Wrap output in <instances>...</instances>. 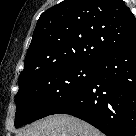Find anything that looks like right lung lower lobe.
<instances>
[{
    "label": "right lung lower lobe",
    "mask_w": 136,
    "mask_h": 136,
    "mask_svg": "<svg viewBox=\"0 0 136 136\" xmlns=\"http://www.w3.org/2000/svg\"><path fill=\"white\" fill-rule=\"evenodd\" d=\"M52 114L78 117L107 136H135L136 39L101 58L90 84Z\"/></svg>",
    "instance_id": "obj_1"
}]
</instances>
